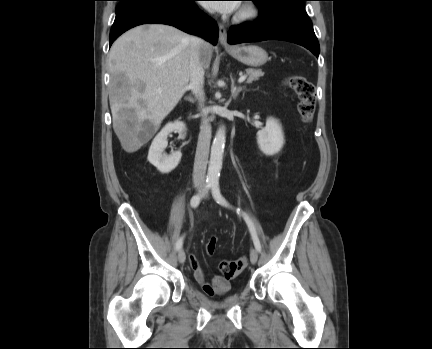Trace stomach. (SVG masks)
<instances>
[{
  "mask_svg": "<svg viewBox=\"0 0 432 349\" xmlns=\"http://www.w3.org/2000/svg\"><path fill=\"white\" fill-rule=\"evenodd\" d=\"M227 52L239 62L251 67L262 66L268 60L267 52L256 45L235 46L227 49Z\"/></svg>",
  "mask_w": 432,
  "mask_h": 349,
  "instance_id": "stomach-1",
  "label": "stomach"
}]
</instances>
